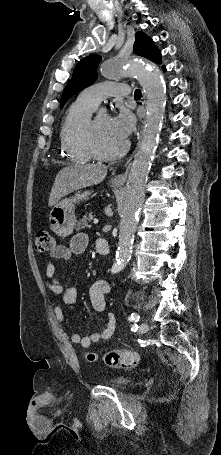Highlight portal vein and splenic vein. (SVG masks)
<instances>
[{
	"instance_id": "portal-vein-and-splenic-vein-1",
	"label": "portal vein and splenic vein",
	"mask_w": 221,
	"mask_h": 455,
	"mask_svg": "<svg viewBox=\"0 0 221 455\" xmlns=\"http://www.w3.org/2000/svg\"><path fill=\"white\" fill-rule=\"evenodd\" d=\"M93 222H94V224H98V219H97V218H94V219H93Z\"/></svg>"
}]
</instances>
